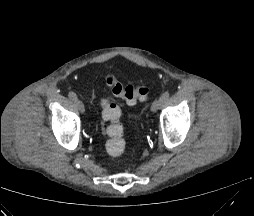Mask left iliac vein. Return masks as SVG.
I'll use <instances>...</instances> for the list:
<instances>
[{"mask_svg":"<svg viewBox=\"0 0 254 216\" xmlns=\"http://www.w3.org/2000/svg\"><path fill=\"white\" fill-rule=\"evenodd\" d=\"M162 105V101L160 99L155 100L151 105V111L156 112Z\"/></svg>","mask_w":254,"mask_h":216,"instance_id":"obj_1","label":"left iliac vein"}]
</instances>
